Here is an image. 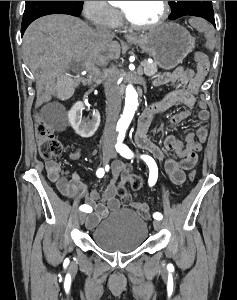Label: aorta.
<instances>
[{"label": "aorta", "instance_id": "1", "mask_svg": "<svg viewBox=\"0 0 237 300\" xmlns=\"http://www.w3.org/2000/svg\"><path fill=\"white\" fill-rule=\"evenodd\" d=\"M138 107V95L133 87V85H127L126 87V97H125V107L123 115H121L118 121L119 129H128Z\"/></svg>", "mask_w": 237, "mask_h": 300}]
</instances>
